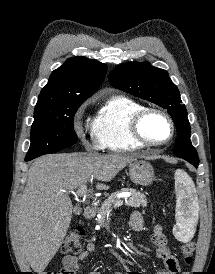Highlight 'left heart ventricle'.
Listing matches in <instances>:
<instances>
[{"label": "left heart ventricle", "mask_w": 215, "mask_h": 274, "mask_svg": "<svg viewBox=\"0 0 215 274\" xmlns=\"http://www.w3.org/2000/svg\"><path fill=\"white\" fill-rule=\"evenodd\" d=\"M142 132L152 142H162L170 135L167 120L156 113L149 114L142 123Z\"/></svg>", "instance_id": "1"}]
</instances>
